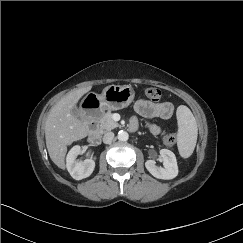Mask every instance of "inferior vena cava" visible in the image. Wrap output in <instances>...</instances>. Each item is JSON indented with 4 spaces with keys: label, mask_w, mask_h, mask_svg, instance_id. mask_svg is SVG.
Returning a JSON list of instances; mask_svg holds the SVG:
<instances>
[{
    "label": "inferior vena cava",
    "mask_w": 243,
    "mask_h": 243,
    "mask_svg": "<svg viewBox=\"0 0 243 243\" xmlns=\"http://www.w3.org/2000/svg\"><path fill=\"white\" fill-rule=\"evenodd\" d=\"M113 138H114V133L113 132H106L104 134V136H103V142L105 144H109V143L112 142Z\"/></svg>",
    "instance_id": "602c4592"
}]
</instances>
